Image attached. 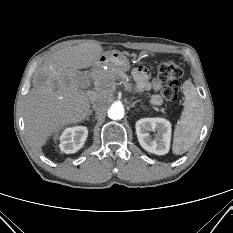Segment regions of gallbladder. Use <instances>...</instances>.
Masks as SVG:
<instances>
[{
  "mask_svg": "<svg viewBox=\"0 0 233 233\" xmlns=\"http://www.w3.org/2000/svg\"><path fill=\"white\" fill-rule=\"evenodd\" d=\"M80 76H81L80 73L76 72V77L78 78V80H79Z\"/></svg>",
  "mask_w": 233,
  "mask_h": 233,
  "instance_id": "obj_1",
  "label": "gallbladder"
}]
</instances>
